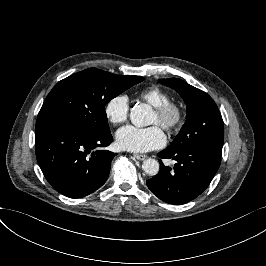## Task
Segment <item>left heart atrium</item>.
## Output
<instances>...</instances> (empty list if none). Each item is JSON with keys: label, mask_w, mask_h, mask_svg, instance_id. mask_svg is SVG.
Returning a JSON list of instances; mask_svg holds the SVG:
<instances>
[{"label": "left heart atrium", "mask_w": 266, "mask_h": 266, "mask_svg": "<svg viewBox=\"0 0 266 266\" xmlns=\"http://www.w3.org/2000/svg\"><path fill=\"white\" fill-rule=\"evenodd\" d=\"M119 146L133 152H145L162 147L166 136L162 127L154 124L148 127L127 125L116 133Z\"/></svg>", "instance_id": "left-heart-atrium-1"}]
</instances>
